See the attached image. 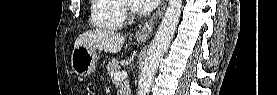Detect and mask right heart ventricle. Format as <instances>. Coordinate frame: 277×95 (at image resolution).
I'll use <instances>...</instances> for the list:
<instances>
[{
    "instance_id": "obj_1",
    "label": "right heart ventricle",
    "mask_w": 277,
    "mask_h": 95,
    "mask_svg": "<svg viewBox=\"0 0 277 95\" xmlns=\"http://www.w3.org/2000/svg\"><path fill=\"white\" fill-rule=\"evenodd\" d=\"M121 0H92L91 27L98 30H115L125 23L120 10Z\"/></svg>"
}]
</instances>
